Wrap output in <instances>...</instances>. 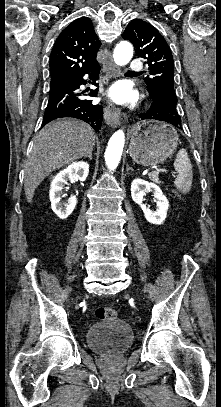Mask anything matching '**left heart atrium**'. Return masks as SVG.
<instances>
[{
  "mask_svg": "<svg viewBox=\"0 0 221 407\" xmlns=\"http://www.w3.org/2000/svg\"><path fill=\"white\" fill-rule=\"evenodd\" d=\"M108 96L115 102L129 103L135 100L136 93L127 82L119 81L109 89Z\"/></svg>",
  "mask_w": 221,
  "mask_h": 407,
  "instance_id": "1",
  "label": "left heart atrium"
}]
</instances>
